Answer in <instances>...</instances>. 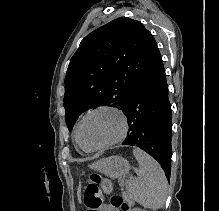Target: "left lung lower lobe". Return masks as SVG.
I'll list each match as a JSON object with an SVG mask.
<instances>
[{
  "label": "left lung lower lobe",
  "mask_w": 219,
  "mask_h": 211,
  "mask_svg": "<svg viewBox=\"0 0 219 211\" xmlns=\"http://www.w3.org/2000/svg\"><path fill=\"white\" fill-rule=\"evenodd\" d=\"M127 137L123 145L136 146L150 154L163 168L167 179L171 173V104L161 61L131 94L126 110Z\"/></svg>",
  "instance_id": "0a47b994"
}]
</instances>
